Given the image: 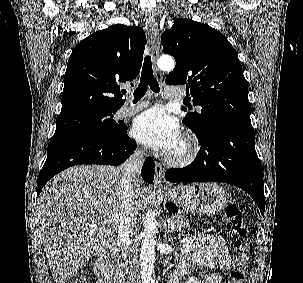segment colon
<instances>
[{
    "label": "colon",
    "instance_id": "5ec220e1",
    "mask_svg": "<svg viewBox=\"0 0 303 283\" xmlns=\"http://www.w3.org/2000/svg\"><path fill=\"white\" fill-rule=\"evenodd\" d=\"M224 225L229 232L236 236L233 244L235 252L234 264L230 270L228 283H244L252 255V246L246 239V224L236 204L229 203L226 206ZM90 281L89 271H83L70 283H90Z\"/></svg>",
    "mask_w": 303,
    "mask_h": 283
}]
</instances>
